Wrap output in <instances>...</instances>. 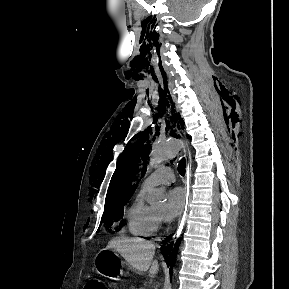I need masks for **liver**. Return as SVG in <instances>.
<instances>
[{"label":"liver","mask_w":289,"mask_h":289,"mask_svg":"<svg viewBox=\"0 0 289 289\" xmlns=\"http://www.w3.org/2000/svg\"><path fill=\"white\" fill-rule=\"evenodd\" d=\"M105 249H113L120 253L128 264L139 272L149 270L150 276L157 274L159 265L153 261L155 246L139 238H115Z\"/></svg>","instance_id":"obj_1"}]
</instances>
